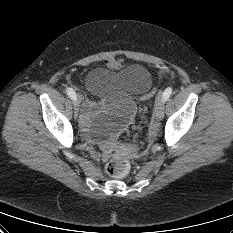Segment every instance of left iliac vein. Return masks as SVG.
Segmentation results:
<instances>
[{
  "label": "left iliac vein",
  "mask_w": 233,
  "mask_h": 233,
  "mask_svg": "<svg viewBox=\"0 0 233 233\" xmlns=\"http://www.w3.org/2000/svg\"><path fill=\"white\" fill-rule=\"evenodd\" d=\"M154 114L159 120H161L164 116V99L162 93H159L155 100Z\"/></svg>",
  "instance_id": "left-iliac-vein-1"
}]
</instances>
